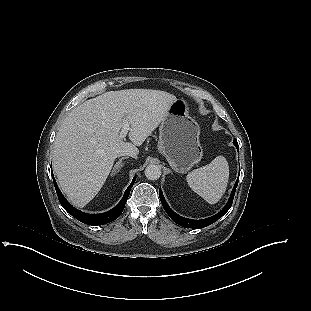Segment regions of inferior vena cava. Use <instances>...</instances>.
I'll return each mask as SVG.
<instances>
[{
  "instance_id": "inferior-vena-cava-1",
  "label": "inferior vena cava",
  "mask_w": 311,
  "mask_h": 311,
  "mask_svg": "<svg viewBox=\"0 0 311 311\" xmlns=\"http://www.w3.org/2000/svg\"><path fill=\"white\" fill-rule=\"evenodd\" d=\"M137 150L136 149H129L128 153L123 154V156H128L129 158H137Z\"/></svg>"
}]
</instances>
